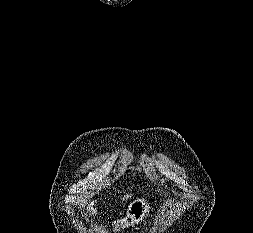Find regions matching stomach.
Instances as JSON below:
<instances>
[{
    "mask_svg": "<svg viewBox=\"0 0 253 233\" xmlns=\"http://www.w3.org/2000/svg\"><path fill=\"white\" fill-rule=\"evenodd\" d=\"M150 206L146 198L135 199L128 207L126 215L114 222L116 228H128L138 225L148 216Z\"/></svg>",
    "mask_w": 253,
    "mask_h": 233,
    "instance_id": "stomach-1",
    "label": "stomach"
}]
</instances>
